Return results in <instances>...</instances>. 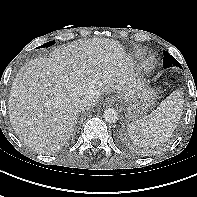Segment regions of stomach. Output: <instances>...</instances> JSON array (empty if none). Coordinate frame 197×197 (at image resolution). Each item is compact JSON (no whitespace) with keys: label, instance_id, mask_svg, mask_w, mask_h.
<instances>
[{"label":"stomach","instance_id":"0dacf381","mask_svg":"<svg viewBox=\"0 0 197 197\" xmlns=\"http://www.w3.org/2000/svg\"><path fill=\"white\" fill-rule=\"evenodd\" d=\"M156 102L155 91L144 85L135 90L130 96L124 98L123 111L127 120H137Z\"/></svg>","mask_w":197,"mask_h":197}]
</instances>
